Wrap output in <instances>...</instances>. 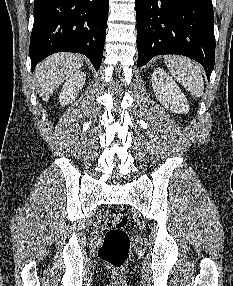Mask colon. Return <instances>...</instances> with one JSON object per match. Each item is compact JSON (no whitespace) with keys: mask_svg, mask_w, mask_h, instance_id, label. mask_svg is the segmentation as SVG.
<instances>
[{"mask_svg":"<svg viewBox=\"0 0 233 286\" xmlns=\"http://www.w3.org/2000/svg\"><path fill=\"white\" fill-rule=\"evenodd\" d=\"M103 223L107 232L98 256L109 268L119 271L129 259L130 241L125 231L127 217L120 210L110 209L106 211Z\"/></svg>","mask_w":233,"mask_h":286,"instance_id":"colon-1","label":"colon"}]
</instances>
